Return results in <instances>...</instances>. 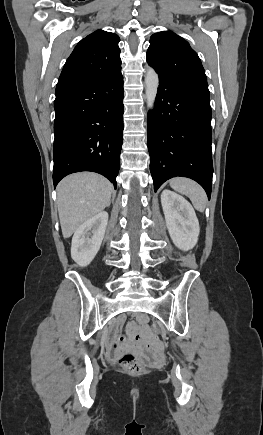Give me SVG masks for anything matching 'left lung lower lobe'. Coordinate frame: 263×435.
<instances>
[{
    "instance_id": "0a47b994",
    "label": "left lung lower lobe",
    "mask_w": 263,
    "mask_h": 435,
    "mask_svg": "<svg viewBox=\"0 0 263 435\" xmlns=\"http://www.w3.org/2000/svg\"><path fill=\"white\" fill-rule=\"evenodd\" d=\"M159 83L147 126L154 190L166 180L182 176L198 182L210 199L213 164L209 90L160 75Z\"/></svg>"
}]
</instances>
